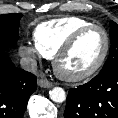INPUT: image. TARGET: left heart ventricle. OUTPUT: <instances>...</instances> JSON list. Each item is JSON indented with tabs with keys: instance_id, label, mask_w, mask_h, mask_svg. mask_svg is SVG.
Masks as SVG:
<instances>
[{
	"instance_id": "1",
	"label": "left heart ventricle",
	"mask_w": 118,
	"mask_h": 118,
	"mask_svg": "<svg viewBox=\"0 0 118 118\" xmlns=\"http://www.w3.org/2000/svg\"><path fill=\"white\" fill-rule=\"evenodd\" d=\"M104 46V36L99 30L85 33L62 58L61 69L69 74H79L90 69L101 57Z\"/></svg>"
}]
</instances>
